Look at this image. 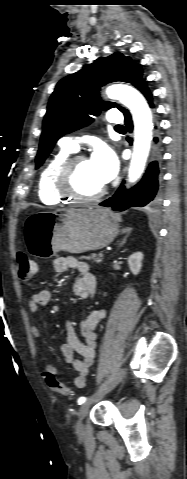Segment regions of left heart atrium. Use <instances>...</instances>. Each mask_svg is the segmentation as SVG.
Instances as JSON below:
<instances>
[{"instance_id":"left-heart-atrium-1","label":"left heart atrium","mask_w":187,"mask_h":479,"mask_svg":"<svg viewBox=\"0 0 187 479\" xmlns=\"http://www.w3.org/2000/svg\"><path fill=\"white\" fill-rule=\"evenodd\" d=\"M92 167L101 183L111 181L118 172V160L114 152L104 144H98L90 158Z\"/></svg>"}]
</instances>
